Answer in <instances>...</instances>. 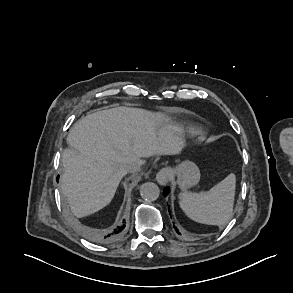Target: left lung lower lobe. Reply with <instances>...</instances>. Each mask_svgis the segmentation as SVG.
Masks as SVG:
<instances>
[{"label": "left lung lower lobe", "instance_id": "obj_1", "mask_svg": "<svg viewBox=\"0 0 293 293\" xmlns=\"http://www.w3.org/2000/svg\"><path fill=\"white\" fill-rule=\"evenodd\" d=\"M168 193H169V188L167 187V188L164 190L163 194H164V196H166ZM174 228H175L176 232H177L178 234H180V232L178 231V229H177L175 226H174Z\"/></svg>", "mask_w": 293, "mask_h": 293}]
</instances>
